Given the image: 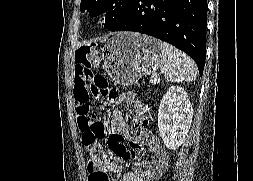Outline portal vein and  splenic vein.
Masks as SVG:
<instances>
[{"instance_id": "1", "label": "portal vein and splenic vein", "mask_w": 253, "mask_h": 181, "mask_svg": "<svg viewBox=\"0 0 253 181\" xmlns=\"http://www.w3.org/2000/svg\"><path fill=\"white\" fill-rule=\"evenodd\" d=\"M152 82L158 83V82H160V79H159V78H154V79L152 80Z\"/></svg>"}]
</instances>
